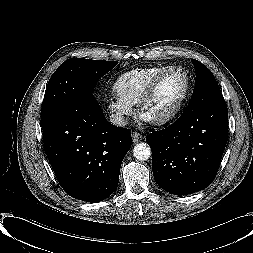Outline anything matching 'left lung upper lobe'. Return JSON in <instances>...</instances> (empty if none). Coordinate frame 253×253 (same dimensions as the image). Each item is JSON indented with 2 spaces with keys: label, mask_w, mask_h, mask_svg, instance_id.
I'll return each mask as SVG.
<instances>
[{
  "label": "left lung upper lobe",
  "mask_w": 253,
  "mask_h": 253,
  "mask_svg": "<svg viewBox=\"0 0 253 253\" xmlns=\"http://www.w3.org/2000/svg\"><path fill=\"white\" fill-rule=\"evenodd\" d=\"M196 71L195 89L187 108L203 107L223 98L220 88L211 71L197 60H192Z\"/></svg>",
  "instance_id": "1"
}]
</instances>
